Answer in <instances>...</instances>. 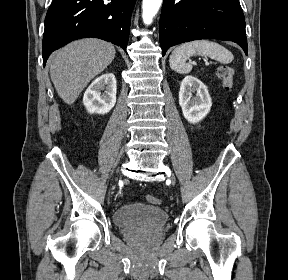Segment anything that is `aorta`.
I'll return each mask as SVG.
<instances>
[{
	"mask_svg": "<svg viewBox=\"0 0 288 280\" xmlns=\"http://www.w3.org/2000/svg\"><path fill=\"white\" fill-rule=\"evenodd\" d=\"M163 0H143L142 2V18L146 25L152 23L153 18L159 11Z\"/></svg>",
	"mask_w": 288,
	"mask_h": 280,
	"instance_id": "aorta-1",
	"label": "aorta"
}]
</instances>
